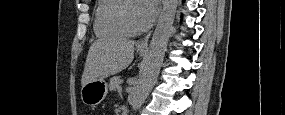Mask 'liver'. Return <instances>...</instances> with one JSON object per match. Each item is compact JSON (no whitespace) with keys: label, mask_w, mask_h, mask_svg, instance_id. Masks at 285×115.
Instances as JSON below:
<instances>
[{"label":"liver","mask_w":285,"mask_h":115,"mask_svg":"<svg viewBox=\"0 0 285 115\" xmlns=\"http://www.w3.org/2000/svg\"><path fill=\"white\" fill-rule=\"evenodd\" d=\"M133 40L125 38H101L91 45L81 85L93 80H104L127 68L134 57Z\"/></svg>","instance_id":"6515ba94"}]
</instances>
